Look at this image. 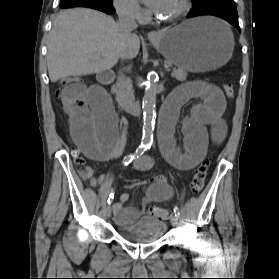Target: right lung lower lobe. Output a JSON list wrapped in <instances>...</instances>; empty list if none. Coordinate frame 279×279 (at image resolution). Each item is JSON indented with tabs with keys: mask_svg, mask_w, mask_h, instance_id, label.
I'll use <instances>...</instances> for the list:
<instances>
[{
	"mask_svg": "<svg viewBox=\"0 0 279 279\" xmlns=\"http://www.w3.org/2000/svg\"><path fill=\"white\" fill-rule=\"evenodd\" d=\"M61 8H72V7H88L100 10L106 14L115 12L112 4L105 3L102 0H61Z\"/></svg>",
	"mask_w": 279,
	"mask_h": 279,
	"instance_id": "obj_1",
	"label": "right lung lower lobe"
}]
</instances>
